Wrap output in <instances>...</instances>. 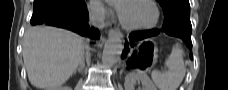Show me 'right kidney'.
<instances>
[{
    "mask_svg": "<svg viewBox=\"0 0 228 90\" xmlns=\"http://www.w3.org/2000/svg\"><path fill=\"white\" fill-rule=\"evenodd\" d=\"M51 90H71L68 86H60L58 88H52Z\"/></svg>",
    "mask_w": 228,
    "mask_h": 90,
    "instance_id": "right-kidney-1",
    "label": "right kidney"
}]
</instances>
